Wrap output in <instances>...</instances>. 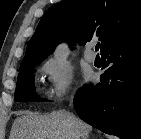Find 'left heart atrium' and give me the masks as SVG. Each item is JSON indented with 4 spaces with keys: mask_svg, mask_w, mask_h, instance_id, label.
<instances>
[{
    "mask_svg": "<svg viewBox=\"0 0 141 139\" xmlns=\"http://www.w3.org/2000/svg\"><path fill=\"white\" fill-rule=\"evenodd\" d=\"M91 77L90 74H86V78L89 79Z\"/></svg>",
    "mask_w": 141,
    "mask_h": 139,
    "instance_id": "obj_1",
    "label": "left heart atrium"
}]
</instances>
